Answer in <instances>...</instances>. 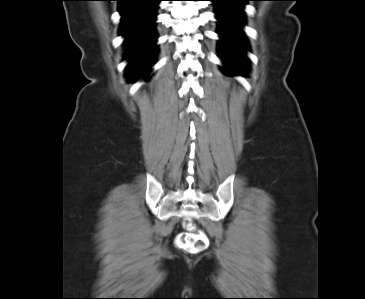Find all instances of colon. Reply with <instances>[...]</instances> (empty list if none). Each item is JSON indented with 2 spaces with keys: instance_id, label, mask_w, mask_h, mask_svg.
Here are the masks:
<instances>
[{
  "instance_id": "5ec220e1",
  "label": "colon",
  "mask_w": 365,
  "mask_h": 299,
  "mask_svg": "<svg viewBox=\"0 0 365 299\" xmlns=\"http://www.w3.org/2000/svg\"><path fill=\"white\" fill-rule=\"evenodd\" d=\"M186 232L182 233L177 238V246L179 249L199 253L206 249L209 244L208 236L201 230H197L191 221L185 223Z\"/></svg>"
}]
</instances>
